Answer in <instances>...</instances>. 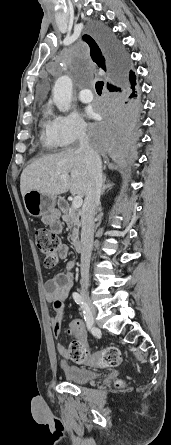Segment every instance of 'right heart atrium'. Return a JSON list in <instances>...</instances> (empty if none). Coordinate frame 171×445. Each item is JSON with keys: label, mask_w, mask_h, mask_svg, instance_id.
Listing matches in <instances>:
<instances>
[{"label": "right heart atrium", "mask_w": 171, "mask_h": 445, "mask_svg": "<svg viewBox=\"0 0 171 445\" xmlns=\"http://www.w3.org/2000/svg\"><path fill=\"white\" fill-rule=\"evenodd\" d=\"M54 128L63 145H71L87 137L89 129L77 113L58 115L54 118Z\"/></svg>", "instance_id": "d8ad5b80"}]
</instances>
